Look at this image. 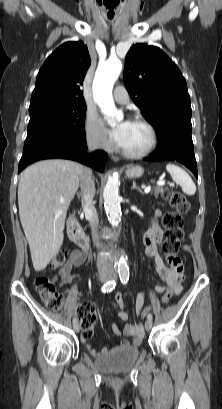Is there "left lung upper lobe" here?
Masks as SVG:
<instances>
[{
    "label": "left lung upper lobe",
    "instance_id": "1",
    "mask_svg": "<svg viewBox=\"0 0 222 409\" xmlns=\"http://www.w3.org/2000/svg\"><path fill=\"white\" fill-rule=\"evenodd\" d=\"M124 83L134 103L157 133L191 136V104L185 78L159 48L133 45L126 55Z\"/></svg>",
    "mask_w": 222,
    "mask_h": 409
}]
</instances>
